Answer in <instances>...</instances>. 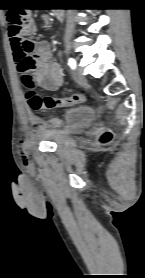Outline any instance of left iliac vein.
<instances>
[{
	"label": "left iliac vein",
	"instance_id": "left-iliac-vein-1",
	"mask_svg": "<svg viewBox=\"0 0 145 278\" xmlns=\"http://www.w3.org/2000/svg\"><path fill=\"white\" fill-rule=\"evenodd\" d=\"M72 75L76 82H85L86 81V77L83 73L82 68H78L77 70L73 71Z\"/></svg>",
	"mask_w": 145,
	"mask_h": 278
}]
</instances>
